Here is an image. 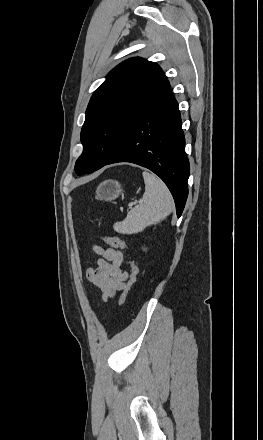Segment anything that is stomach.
<instances>
[{
    "label": "stomach",
    "mask_w": 263,
    "mask_h": 440,
    "mask_svg": "<svg viewBox=\"0 0 263 440\" xmlns=\"http://www.w3.org/2000/svg\"><path fill=\"white\" fill-rule=\"evenodd\" d=\"M122 191V185L118 181L109 179L97 187L96 197L100 200L111 201L116 199Z\"/></svg>",
    "instance_id": "1"
}]
</instances>
